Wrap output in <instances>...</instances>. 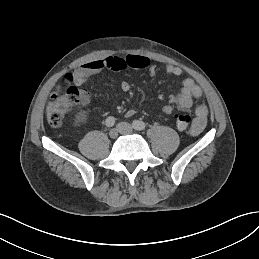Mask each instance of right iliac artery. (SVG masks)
<instances>
[{
	"label": "right iliac artery",
	"mask_w": 259,
	"mask_h": 259,
	"mask_svg": "<svg viewBox=\"0 0 259 259\" xmlns=\"http://www.w3.org/2000/svg\"><path fill=\"white\" fill-rule=\"evenodd\" d=\"M105 123H106V126H107V127H112V126H114V124H115V118L112 117V116H109V117L106 119Z\"/></svg>",
	"instance_id": "82829eb1"
}]
</instances>
